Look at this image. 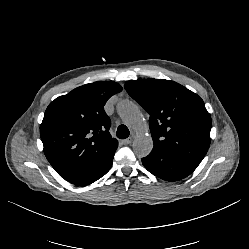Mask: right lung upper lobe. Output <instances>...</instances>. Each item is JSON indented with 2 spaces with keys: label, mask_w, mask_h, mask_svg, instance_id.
<instances>
[{
  "label": "right lung upper lobe",
  "mask_w": 249,
  "mask_h": 249,
  "mask_svg": "<svg viewBox=\"0 0 249 249\" xmlns=\"http://www.w3.org/2000/svg\"><path fill=\"white\" fill-rule=\"evenodd\" d=\"M121 91L116 82L98 81L56 98L47 107L40 125L44 153L65 180L88 171L117 148L104 105Z\"/></svg>",
  "instance_id": "cb5924a9"
}]
</instances>
